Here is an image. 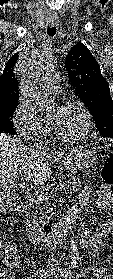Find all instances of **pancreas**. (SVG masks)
<instances>
[{"label": "pancreas", "mask_w": 113, "mask_h": 279, "mask_svg": "<svg viewBox=\"0 0 113 279\" xmlns=\"http://www.w3.org/2000/svg\"><path fill=\"white\" fill-rule=\"evenodd\" d=\"M67 178L68 183L72 185V190L74 192H79L82 188L81 179L72 174H69ZM48 205L49 196L44 190L31 196L29 206L32 209V222L35 226H44L49 223L50 217L47 216V211L44 210Z\"/></svg>", "instance_id": "cf45deb5"}]
</instances>
